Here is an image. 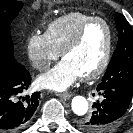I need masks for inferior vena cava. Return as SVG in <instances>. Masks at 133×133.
I'll return each instance as SVG.
<instances>
[{"label": "inferior vena cava", "mask_w": 133, "mask_h": 133, "mask_svg": "<svg viewBox=\"0 0 133 133\" xmlns=\"http://www.w3.org/2000/svg\"><path fill=\"white\" fill-rule=\"evenodd\" d=\"M37 65L40 70H46L49 69L50 63L47 60H41L40 62L37 63Z\"/></svg>", "instance_id": "obj_1"}]
</instances>
